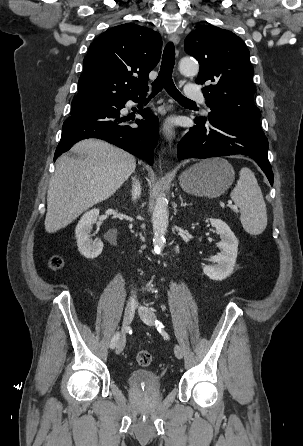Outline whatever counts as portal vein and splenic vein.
<instances>
[{
    "mask_svg": "<svg viewBox=\"0 0 303 446\" xmlns=\"http://www.w3.org/2000/svg\"><path fill=\"white\" fill-rule=\"evenodd\" d=\"M229 207H230L231 209H233V210H237V206L232 205L230 202H229Z\"/></svg>",
    "mask_w": 303,
    "mask_h": 446,
    "instance_id": "obj_1",
    "label": "portal vein and splenic vein"
}]
</instances>
